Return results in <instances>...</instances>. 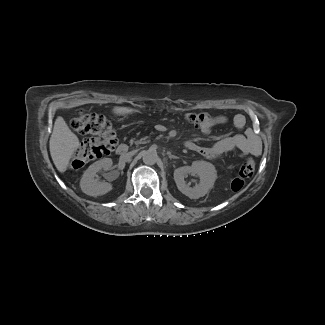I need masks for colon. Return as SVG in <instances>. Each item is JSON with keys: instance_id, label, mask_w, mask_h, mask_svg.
<instances>
[{"instance_id": "colon-1", "label": "colon", "mask_w": 325, "mask_h": 325, "mask_svg": "<svg viewBox=\"0 0 325 325\" xmlns=\"http://www.w3.org/2000/svg\"><path fill=\"white\" fill-rule=\"evenodd\" d=\"M185 119L189 124L200 127L210 121L212 115L188 113L185 115ZM71 125L78 133L88 136L82 141L71 160L73 168H80L92 160L109 155L118 143L117 134L112 124L103 115L81 113L72 119ZM254 170L255 161L251 157L246 158L231 182L232 190L240 191L252 177Z\"/></svg>"}]
</instances>
